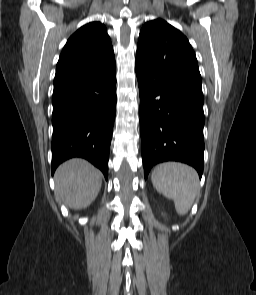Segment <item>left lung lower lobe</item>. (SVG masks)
I'll use <instances>...</instances> for the list:
<instances>
[{
	"label": "left lung lower lobe",
	"mask_w": 256,
	"mask_h": 295,
	"mask_svg": "<svg viewBox=\"0 0 256 295\" xmlns=\"http://www.w3.org/2000/svg\"><path fill=\"white\" fill-rule=\"evenodd\" d=\"M140 90V133L145 179L152 166L179 161L201 178L204 160L203 97L152 78L136 66Z\"/></svg>",
	"instance_id": "left-lung-lower-lobe-1"
}]
</instances>
